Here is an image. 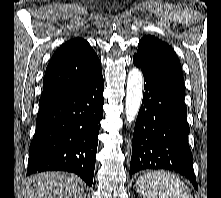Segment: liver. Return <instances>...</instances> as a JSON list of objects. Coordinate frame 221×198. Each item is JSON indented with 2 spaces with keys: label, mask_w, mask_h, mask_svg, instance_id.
Here are the masks:
<instances>
[{
  "label": "liver",
  "mask_w": 221,
  "mask_h": 198,
  "mask_svg": "<svg viewBox=\"0 0 221 198\" xmlns=\"http://www.w3.org/2000/svg\"><path fill=\"white\" fill-rule=\"evenodd\" d=\"M83 181L70 173L44 172L30 177L24 198H85Z\"/></svg>",
  "instance_id": "liver-1"
}]
</instances>
